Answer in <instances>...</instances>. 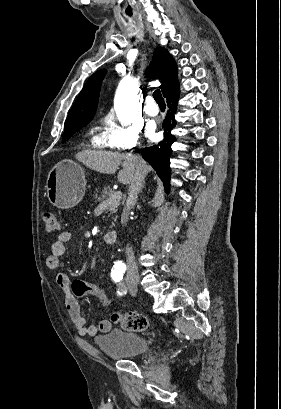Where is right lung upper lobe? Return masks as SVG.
<instances>
[{
  "label": "right lung upper lobe",
  "instance_id": "right-lung-upper-lobe-1",
  "mask_svg": "<svg viewBox=\"0 0 281 409\" xmlns=\"http://www.w3.org/2000/svg\"><path fill=\"white\" fill-rule=\"evenodd\" d=\"M105 73L106 70H99L88 79L69 111L65 127L86 125L92 120ZM147 74L149 77L162 80L160 88L164 97L178 85L176 62L164 48L155 50Z\"/></svg>",
  "mask_w": 281,
  "mask_h": 409
}]
</instances>
